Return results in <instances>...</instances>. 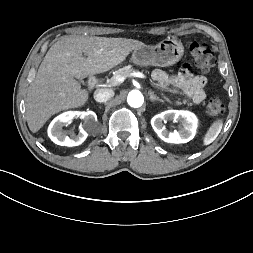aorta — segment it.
Wrapping results in <instances>:
<instances>
[{
	"mask_svg": "<svg viewBox=\"0 0 253 253\" xmlns=\"http://www.w3.org/2000/svg\"><path fill=\"white\" fill-rule=\"evenodd\" d=\"M127 101L131 107L138 108L143 105L144 97L140 91L132 90L128 94Z\"/></svg>",
	"mask_w": 253,
	"mask_h": 253,
	"instance_id": "aorta-1",
	"label": "aorta"
}]
</instances>
